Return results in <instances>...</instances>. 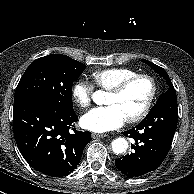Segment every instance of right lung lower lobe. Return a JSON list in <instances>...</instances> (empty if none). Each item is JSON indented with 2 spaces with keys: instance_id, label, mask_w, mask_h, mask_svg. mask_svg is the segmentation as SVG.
Wrapping results in <instances>:
<instances>
[{
  "instance_id": "obj_1",
  "label": "right lung lower lobe",
  "mask_w": 194,
  "mask_h": 194,
  "mask_svg": "<svg viewBox=\"0 0 194 194\" xmlns=\"http://www.w3.org/2000/svg\"><path fill=\"white\" fill-rule=\"evenodd\" d=\"M77 120L73 104L58 105L38 97L14 101L13 131L20 153L43 174L67 176L91 141L90 132L70 131Z\"/></svg>"
}]
</instances>
